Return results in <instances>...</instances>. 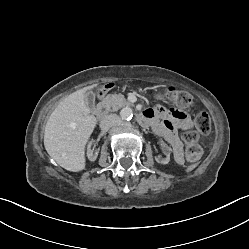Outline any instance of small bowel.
Here are the masks:
<instances>
[{"label": "small bowel", "mask_w": 249, "mask_h": 249, "mask_svg": "<svg viewBox=\"0 0 249 249\" xmlns=\"http://www.w3.org/2000/svg\"><path fill=\"white\" fill-rule=\"evenodd\" d=\"M143 115L154 130L170 144L175 160L181 163L182 143L177 136V130L191 129L193 126L191 117L181 109H167L163 106L147 109Z\"/></svg>", "instance_id": "1"}]
</instances>
